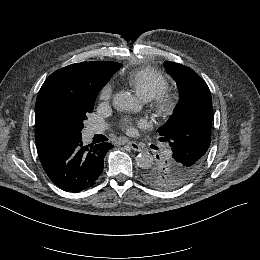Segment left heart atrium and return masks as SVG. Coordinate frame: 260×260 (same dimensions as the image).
Returning <instances> with one entry per match:
<instances>
[{
    "instance_id": "obj_1",
    "label": "left heart atrium",
    "mask_w": 260,
    "mask_h": 260,
    "mask_svg": "<svg viewBox=\"0 0 260 260\" xmlns=\"http://www.w3.org/2000/svg\"><path fill=\"white\" fill-rule=\"evenodd\" d=\"M135 125H138L140 127H145L147 125V123L143 120H140L137 123H134L129 118H124L120 123V127L128 134L135 133Z\"/></svg>"
}]
</instances>
